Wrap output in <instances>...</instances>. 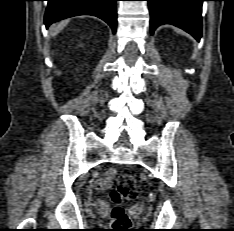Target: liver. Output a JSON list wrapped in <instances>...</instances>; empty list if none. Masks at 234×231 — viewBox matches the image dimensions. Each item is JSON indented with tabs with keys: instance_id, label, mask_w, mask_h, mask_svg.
I'll return each instance as SVG.
<instances>
[{
	"instance_id": "liver-1",
	"label": "liver",
	"mask_w": 234,
	"mask_h": 231,
	"mask_svg": "<svg viewBox=\"0 0 234 231\" xmlns=\"http://www.w3.org/2000/svg\"><path fill=\"white\" fill-rule=\"evenodd\" d=\"M69 20H64V21H61L59 22L53 29H52V32H51V36H55L57 35L58 33H60L64 27L68 24Z\"/></svg>"
}]
</instances>
